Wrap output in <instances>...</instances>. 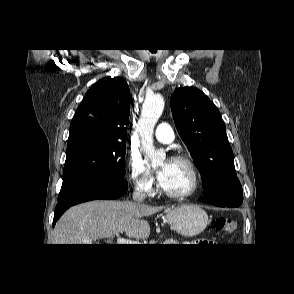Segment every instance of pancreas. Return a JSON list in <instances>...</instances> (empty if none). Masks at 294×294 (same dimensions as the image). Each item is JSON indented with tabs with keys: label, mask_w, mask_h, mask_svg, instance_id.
I'll return each instance as SVG.
<instances>
[{
	"label": "pancreas",
	"mask_w": 294,
	"mask_h": 294,
	"mask_svg": "<svg viewBox=\"0 0 294 294\" xmlns=\"http://www.w3.org/2000/svg\"><path fill=\"white\" fill-rule=\"evenodd\" d=\"M164 244H177V242H165Z\"/></svg>",
	"instance_id": "1"
}]
</instances>
